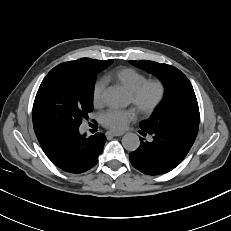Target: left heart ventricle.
Here are the masks:
<instances>
[{
    "label": "left heart ventricle",
    "mask_w": 231,
    "mask_h": 231,
    "mask_svg": "<svg viewBox=\"0 0 231 231\" xmlns=\"http://www.w3.org/2000/svg\"><path fill=\"white\" fill-rule=\"evenodd\" d=\"M156 95V90L154 88L149 89L144 95V101L150 102L154 99Z\"/></svg>",
    "instance_id": "left-heart-ventricle-1"
}]
</instances>
